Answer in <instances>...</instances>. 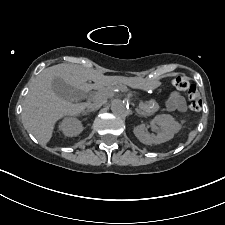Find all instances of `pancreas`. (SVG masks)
<instances>
[{
  "mask_svg": "<svg viewBox=\"0 0 225 225\" xmlns=\"http://www.w3.org/2000/svg\"><path fill=\"white\" fill-rule=\"evenodd\" d=\"M142 106L143 107L141 108V110L144 113V115L147 116L152 115L159 110V105L154 100H150L144 104L142 103Z\"/></svg>",
  "mask_w": 225,
  "mask_h": 225,
  "instance_id": "1",
  "label": "pancreas"
}]
</instances>
